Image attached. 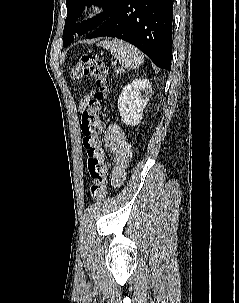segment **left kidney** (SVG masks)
Wrapping results in <instances>:
<instances>
[{"instance_id":"obj_1","label":"left kidney","mask_w":239,"mask_h":303,"mask_svg":"<svg viewBox=\"0 0 239 303\" xmlns=\"http://www.w3.org/2000/svg\"><path fill=\"white\" fill-rule=\"evenodd\" d=\"M151 96L152 87L147 79L134 80L125 86L117 103L122 122L130 126L138 125Z\"/></svg>"}]
</instances>
